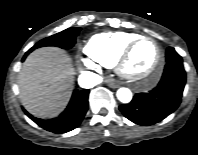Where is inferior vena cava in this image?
<instances>
[{"label":"inferior vena cava","instance_id":"1","mask_svg":"<svg viewBox=\"0 0 198 155\" xmlns=\"http://www.w3.org/2000/svg\"><path fill=\"white\" fill-rule=\"evenodd\" d=\"M102 78L92 72L85 71L79 77V83L83 86V84H88L89 87H93L99 83H101Z\"/></svg>","mask_w":198,"mask_h":155}]
</instances>
